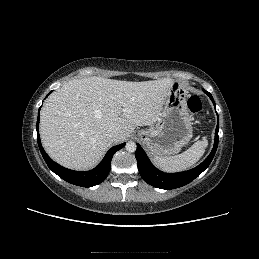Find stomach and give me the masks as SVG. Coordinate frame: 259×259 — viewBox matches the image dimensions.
Wrapping results in <instances>:
<instances>
[{
    "mask_svg": "<svg viewBox=\"0 0 259 259\" xmlns=\"http://www.w3.org/2000/svg\"><path fill=\"white\" fill-rule=\"evenodd\" d=\"M187 96L184 85L173 81L157 124L139 132V138L151 157L177 154L192 138Z\"/></svg>",
    "mask_w": 259,
    "mask_h": 259,
    "instance_id": "obj_1",
    "label": "stomach"
}]
</instances>
